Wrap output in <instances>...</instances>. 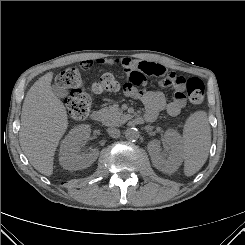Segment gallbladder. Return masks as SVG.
<instances>
[{
  "label": "gallbladder",
  "mask_w": 245,
  "mask_h": 245,
  "mask_svg": "<svg viewBox=\"0 0 245 245\" xmlns=\"http://www.w3.org/2000/svg\"><path fill=\"white\" fill-rule=\"evenodd\" d=\"M54 94L59 98H65L68 95V91L59 85L52 86Z\"/></svg>",
  "instance_id": "obj_1"
}]
</instances>
